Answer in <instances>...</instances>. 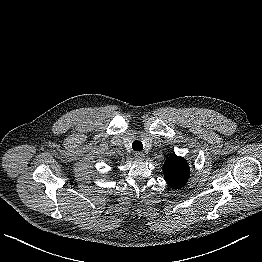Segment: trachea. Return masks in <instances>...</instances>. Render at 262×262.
<instances>
[{"label":"trachea","mask_w":262,"mask_h":262,"mask_svg":"<svg viewBox=\"0 0 262 262\" xmlns=\"http://www.w3.org/2000/svg\"><path fill=\"white\" fill-rule=\"evenodd\" d=\"M132 148H133V150L141 151L143 149V144H142V142L136 140L132 143Z\"/></svg>","instance_id":"obj_1"}]
</instances>
